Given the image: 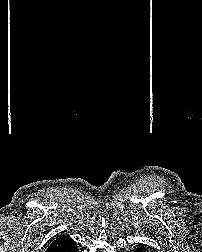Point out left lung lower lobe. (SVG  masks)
Returning <instances> with one entry per match:
<instances>
[{
    "label": "left lung lower lobe",
    "mask_w": 202,
    "mask_h": 252,
    "mask_svg": "<svg viewBox=\"0 0 202 252\" xmlns=\"http://www.w3.org/2000/svg\"><path fill=\"white\" fill-rule=\"evenodd\" d=\"M134 252H146V249L143 247L137 248Z\"/></svg>",
    "instance_id": "0a47b994"
}]
</instances>
